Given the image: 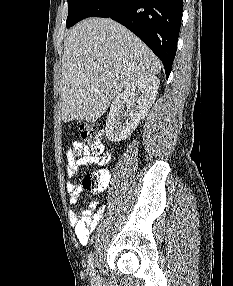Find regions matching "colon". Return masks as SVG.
I'll return each instance as SVG.
<instances>
[{
    "instance_id": "colon-1",
    "label": "colon",
    "mask_w": 233,
    "mask_h": 286,
    "mask_svg": "<svg viewBox=\"0 0 233 286\" xmlns=\"http://www.w3.org/2000/svg\"><path fill=\"white\" fill-rule=\"evenodd\" d=\"M80 130L90 153L97 158L102 157L104 152L102 125L99 123H82ZM109 182L110 172L102 169L86 175L82 186L85 190L98 192L105 189Z\"/></svg>"
}]
</instances>
